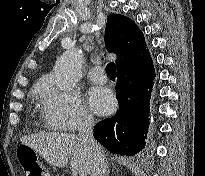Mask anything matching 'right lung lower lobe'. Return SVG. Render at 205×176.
Segmentation results:
<instances>
[{
    "label": "right lung lower lobe",
    "mask_w": 205,
    "mask_h": 176,
    "mask_svg": "<svg viewBox=\"0 0 205 176\" xmlns=\"http://www.w3.org/2000/svg\"><path fill=\"white\" fill-rule=\"evenodd\" d=\"M119 109L94 127V137L115 154L132 156L145 147L155 70L149 51L117 70Z\"/></svg>",
    "instance_id": "98d812e1"
}]
</instances>
